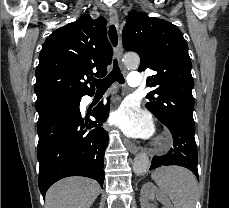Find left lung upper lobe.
Instances as JSON below:
<instances>
[{
  "mask_svg": "<svg viewBox=\"0 0 229 208\" xmlns=\"http://www.w3.org/2000/svg\"><path fill=\"white\" fill-rule=\"evenodd\" d=\"M123 46L126 51L139 54L138 71L156 72L147 78V86L154 88L146 96L150 100L147 109L162 123H184L195 129L192 63L178 27L162 19L131 13L123 31Z\"/></svg>",
  "mask_w": 229,
  "mask_h": 208,
  "instance_id": "obj_1",
  "label": "left lung upper lobe"
}]
</instances>
